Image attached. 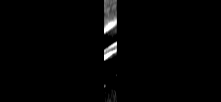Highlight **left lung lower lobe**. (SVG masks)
Returning <instances> with one entry per match:
<instances>
[{"mask_svg": "<svg viewBox=\"0 0 221 102\" xmlns=\"http://www.w3.org/2000/svg\"><path fill=\"white\" fill-rule=\"evenodd\" d=\"M117 72L115 80L108 82L109 87L127 89L136 87L142 75L141 67L137 60L132 62V51L126 45L118 47L117 58L104 63L103 57L96 60L93 66L85 73L83 83L103 89L104 83Z\"/></svg>", "mask_w": 221, "mask_h": 102, "instance_id": "obj_1", "label": "left lung lower lobe"}]
</instances>
